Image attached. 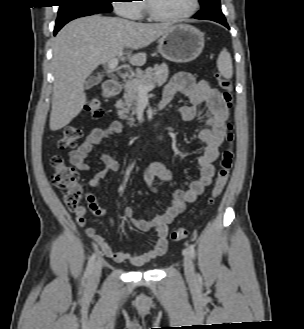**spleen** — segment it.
<instances>
[{"mask_svg": "<svg viewBox=\"0 0 304 329\" xmlns=\"http://www.w3.org/2000/svg\"><path fill=\"white\" fill-rule=\"evenodd\" d=\"M217 67L220 74L226 78L230 79L233 76V66H232V59L229 52L224 48L221 53L219 54L217 60Z\"/></svg>", "mask_w": 304, "mask_h": 329, "instance_id": "1", "label": "spleen"}]
</instances>
